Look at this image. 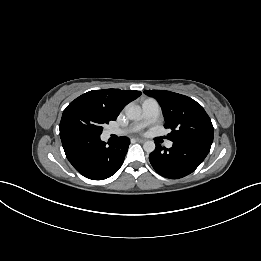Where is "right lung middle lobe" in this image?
I'll use <instances>...</instances> for the list:
<instances>
[{"instance_id": "1", "label": "right lung middle lobe", "mask_w": 261, "mask_h": 261, "mask_svg": "<svg viewBox=\"0 0 261 261\" xmlns=\"http://www.w3.org/2000/svg\"><path fill=\"white\" fill-rule=\"evenodd\" d=\"M112 119L98 106L85 100H74L64 110L60 133L87 132L100 136L103 125Z\"/></svg>"}]
</instances>
